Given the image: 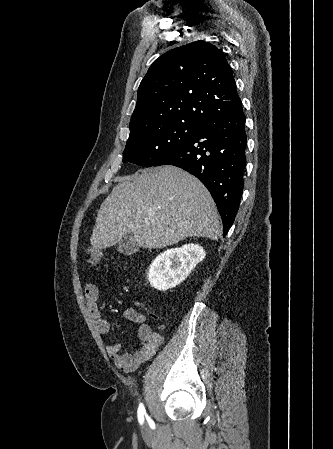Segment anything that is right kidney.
Segmentation results:
<instances>
[{"instance_id": "ca27d5eb", "label": "right kidney", "mask_w": 333, "mask_h": 449, "mask_svg": "<svg viewBox=\"0 0 333 449\" xmlns=\"http://www.w3.org/2000/svg\"><path fill=\"white\" fill-rule=\"evenodd\" d=\"M204 257L203 247L193 243L164 251L150 265L147 274L150 285L159 291L176 287Z\"/></svg>"}]
</instances>
